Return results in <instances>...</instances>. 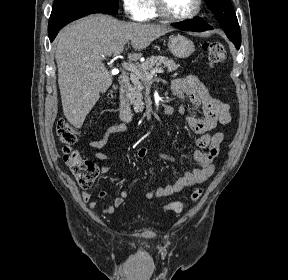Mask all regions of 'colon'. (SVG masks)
Instances as JSON below:
<instances>
[{"label": "colon", "mask_w": 288, "mask_h": 280, "mask_svg": "<svg viewBox=\"0 0 288 280\" xmlns=\"http://www.w3.org/2000/svg\"><path fill=\"white\" fill-rule=\"evenodd\" d=\"M203 49L207 53L211 66L222 64L226 59V50L220 42H206L203 45ZM56 133L60 143L63 145L64 160L78 184L82 188H90L98 175V167L92 160L83 158L78 151L72 148L77 140V130L67 121L60 120L56 126ZM201 194L202 190L195 188L190 195V200H198ZM186 205L184 202L176 201L167 204L165 210L179 213Z\"/></svg>", "instance_id": "1"}]
</instances>
